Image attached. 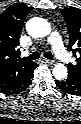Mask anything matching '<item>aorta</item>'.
<instances>
[{
	"label": "aorta",
	"instance_id": "obj_1",
	"mask_svg": "<svg viewBox=\"0 0 81 124\" xmlns=\"http://www.w3.org/2000/svg\"><path fill=\"white\" fill-rule=\"evenodd\" d=\"M26 30L32 37H45L50 34V24L43 18L34 17L27 22ZM68 71L64 64H57L53 68V76L57 80H63L67 77Z\"/></svg>",
	"mask_w": 81,
	"mask_h": 124
}]
</instances>
